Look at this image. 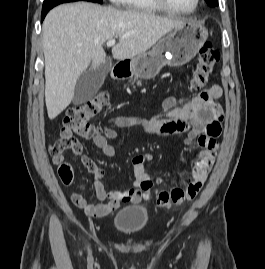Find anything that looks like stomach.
I'll return each mask as SVG.
<instances>
[{"label":"stomach","instance_id":"obj_1","mask_svg":"<svg viewBox=\"0 0 265 269\" xmlns=\"http://www.w3.org/2000/svg\"><path fill=\"white\" fill-rule=\"evenodd\" d=\"M207 38L208 31L203 25L185 21L159 40L148 53L121 61L125 75L151 79L166 65L183 66L195 57Z\"/></svg>","mask_w":265,"mask_h":269}]
</instances>
